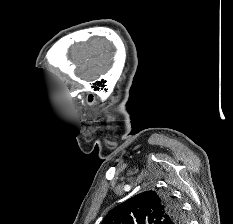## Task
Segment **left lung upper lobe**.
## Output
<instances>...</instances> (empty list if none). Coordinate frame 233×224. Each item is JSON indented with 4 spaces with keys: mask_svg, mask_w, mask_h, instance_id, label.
I'll list each match as a JSON object with an SVG mask.
<instances>
[{
    "mask_svg": "<svg viewBox=\"0 0 233 224\" xmlns=\"http://www.w3.org/2000/svg\"><path fill=\"white\" fill-rule=\"evenodd\" d=\"M180 207L168 194L140 193L111 210L101 224H182Z\"/></svg>",
    "mask_w": 233,
    "mask_h": 224,
    "instance_id": "5c2ea615",
    "label": "left lung upper lobe"
}]
</instances>
